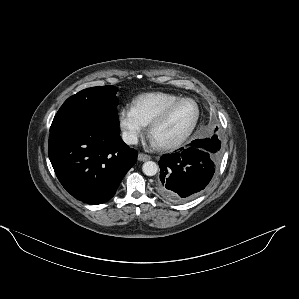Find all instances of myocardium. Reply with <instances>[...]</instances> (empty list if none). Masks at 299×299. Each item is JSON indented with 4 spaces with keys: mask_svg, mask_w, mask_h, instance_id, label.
<instances>
[{
    "mask_svg": "<svg viewBox=\"0 0 299 299\" xmlns=\"http://www.w3.org/2000/svg\"><path fill=\"white\" fill-rule=\"evenodd\" d=\"M183 101H191L194 103L195 107H196V115L195 118L191 124V126L189 127V129L180 137L169 141V142H165V143H158V147L163 149V150H169V149H174L177 148L179 146H181L194 132V130L196 129L198 122L200 120L201 117V108L199 103L191 98V97H181L173 102H171L170 104H168L154 119L153 121L150 123V129H149V133L150 136H153L154 131L157 129V127L159 125H161L170 115V113L173 111V109L175 107H177L180 103H182Z\"/></svg>",
    "mask_w": 299,
    "mask_h": 299,
    "instance_id": "f54148a6",
    "label": "myocardium"
}]
</instances>
